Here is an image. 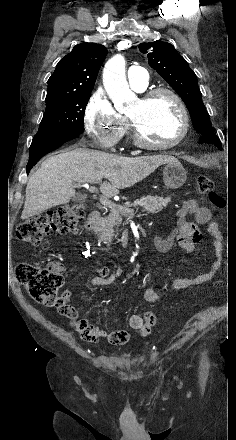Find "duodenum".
<instances>
[{"instance_id":"obj_1","label":"duodenum","mask_w":236,"mask_h":440,"mask_svg":"<svg viewBox=\"0 0 236 440\" xmlns=\"http://www.w3.org/2000/svg\"><path fill=\"white\" fill-rule=\"evenodd\" d=\"M100 219L101 213L99 211L95 210L90 212L84 223V230L86 231V233L91 234L94 226L99 222Z\"/></svg>"}]
</instances>
